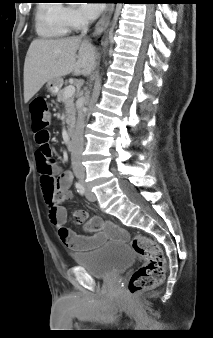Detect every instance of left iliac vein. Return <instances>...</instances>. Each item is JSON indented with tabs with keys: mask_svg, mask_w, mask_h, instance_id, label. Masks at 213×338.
I'll return each mask as SVG.
<instances>
[{
	"mask_svg": "<svg viewBox=\"0 0 213 338\" xmlns=\"http://www.w3.org/2000/svg\"><path fill=\"white\" fill-rule=\"evenodd\" d=\"M85 192H86V198L89 201H96L95 194L89 189V187L87 185H85Z\"/></svg>",
	"mask_w": 213,
	"mask_h": 338,
	"instance_id": "4c4485c4",
	"label": "left iliac vein"
}]
</instances>
